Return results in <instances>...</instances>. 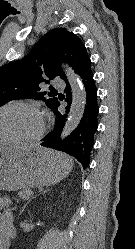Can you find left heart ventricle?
Wrapping results in <instances>:
<instances>
[{"mask_svg": "<svg viewBox=\"0 0 135 249\" xmlns=\"http://www.w3.org/2000/svg\"><path fill=\"white\" fill-rule=\"evenodd\" d=\"M41 127L37 113L24 107H9L0 112V140L28 139Z\"/></svg>", "mask_w": 135, "mask_h": 249, "instance_id": "b2bd125f", "label": "left heart ventricle"}]
</instances>
